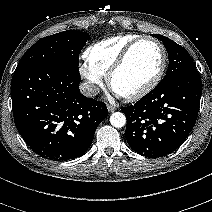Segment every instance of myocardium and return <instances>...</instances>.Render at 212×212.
Instances as JSON below:
<instances>
[{"instance_id": "f54148a6", "label": "myocardium", "mask_w": 212, "mask_h": 212, "mask_svg": "<svg viewBox=\"0 0 212 212\" xmlns=\"http://www.w3.org/2000/svg\"><path fill=\"white\" fill-rule=\"evenodd\" d=\"M144 42H150L155 44L161 51L162 59L160 67L155 74V76L149 81L145 86L140 88L139 90L128 94V95H120L126 100L129 101H135L138 99H141L142 97L146 96L148 93H150L162 80V77L165 73L166 67H167V61H168V54L165 46L157 39L152 37H139L135 40H133L131 43H129L126 48L122 51L118 59L115 61V63L112 65V67L109 69L107 73V83L109 87L114 91L113 89V79L115 75L124 67L126 64L129 56L131 55L134 48Z\"/></svg>"}]
</instances>
